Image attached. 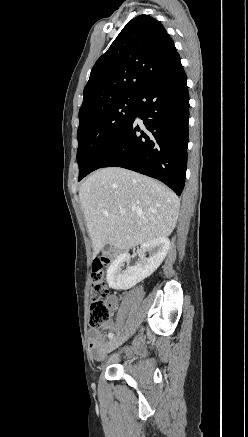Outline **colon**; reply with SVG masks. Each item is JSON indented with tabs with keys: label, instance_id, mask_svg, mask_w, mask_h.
I'll return each instance as SVG.
<instances>
[{
	"label": "colon",
	"instance_id": "5ec220e1",
	"mask_svg": "<svg viewBox=\"0 0 248 437\" xmlns=\"http://www.w3.org/2000/svg\"><path fill=\"white\" fill-rule=\"evenodd\" d=\"M106 265L104 258H97L92 263L89 324L94 328L106 325L112 317L109 287L105 280Z\"/></svg>",
	"mask_w": 248,
	"mask_h": 437
}]
</instances>
